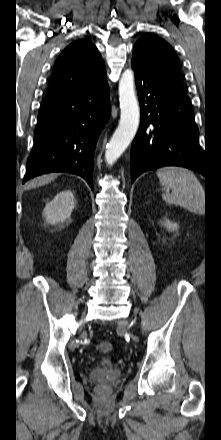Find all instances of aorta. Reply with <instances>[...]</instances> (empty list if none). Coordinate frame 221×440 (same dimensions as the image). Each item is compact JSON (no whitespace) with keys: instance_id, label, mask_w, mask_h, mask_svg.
I'll return each mask as SVG.
<instances>
[{"instance_id":"aorta-1","label":"aorta","mask_w":221,"mask_h":440,"mask_svg":"<svg viewBox=\"0 0 221 440\" xmlns=\"http://www.w3.org/2000/svg\"><path fill=\"white\" fill-rule=\"evenodd\" d=\"M120 121L105 152V160L112 165L133 140L140 121V110L134 89V73L127 69L119 81Z\"/></svg>"}]
</instances>
